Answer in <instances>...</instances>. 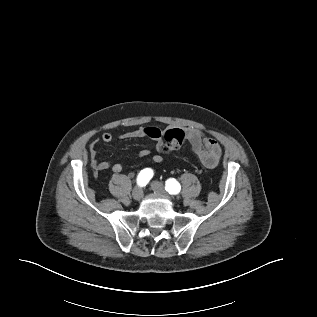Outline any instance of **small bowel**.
I'll use <instances>...</instances> for the list:
<instances>
[{"mask_svg": "<svg viewBox=\"0 0 317 317\" xmlns=\"http://www.w3.org/2000/svg\"><path fill=\"white\" fill-rule=\"evenodd\" d=\"M186 134V139L188 140L192 151L198 157L200 163L206 168H213L217 165L221 155L222 148L220 143L212 138L205 136V134L197 129L188 127L184 130ZM162 131L154 127H140L135 130L127 131L119 135L120 139H135L148 137L156 141V148L158 154L151 155L149 149H142L138 152V156L141 158L149 157L154 163H161L163 157L161 155L163 141H162ZM101 140L104 143H110L113 140V136L106 132L102 134ZM90 164L95 172L104 171L110 169L113 173H120L123 167L119 163H111L108 161H100L98 159V149L97 145L94 143L90 146Z\"/></svg>", "mask_w": 317, "mask_h": 317, "instance_id": "small-bowel-1", "label": "small bowel"}]
</instances>
